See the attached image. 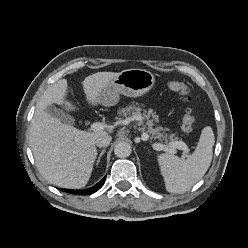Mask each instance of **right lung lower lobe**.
Instances as JSON below:
<instances>
[{
    "instance_id": "right-lung-lower-lobe-1",
    "label": "right lung lower lobe",
    "mask_w": 248,
    "mask_h": 248,
    "mask_svg": "<svg viewBox=\"0 0 248 248\" xmlns=\"http://www.w3.org/2000/svg\"><path fill=\"white\" fill-rule=\"evenodd\" d=\"M105 178L104 177L100 182H98L95 186L88 188V189H84V190H68V189H60L64 192H68V193H72V194H79V195H85V194H92L95 193L96 191H98L104 184L105 182Z\"/></svg>"
}]
</instances>
